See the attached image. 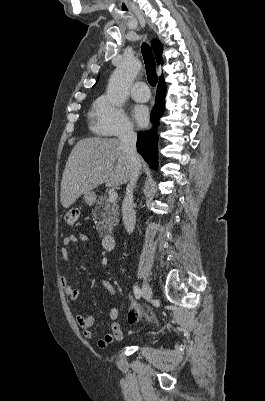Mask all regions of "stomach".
I'll return each mask as SVG.
<instances>
[{"label": "stomach", "instance_id": "1", "mask_svg": "<svg viewBox=\"0 0 265 401\" xmlns=\"http://www.w3.org/2000/svg\"><path fill=\"white\" fill-rule=\"evenodd\" d=\"M83 198L87 205H93V203L96 201V194L93 192V190H88V192H84Z\"/></svg>", "mask_w": 265, "mask_h": 401}]
</instances>
